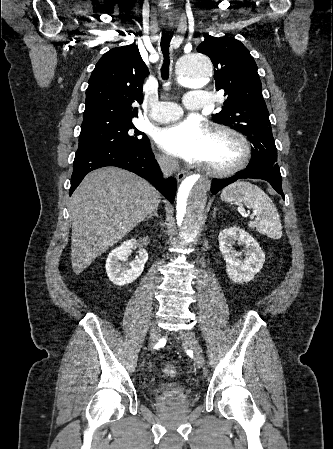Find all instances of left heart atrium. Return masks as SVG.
<instances>
[{"instance_id": "39dd6f15", "label": "left heart atrium", "mask_w": 333, "mask_h": 449, "mask_svg": "<svg viewBox=\"0 0 333 449\" xmlns=\"http://www.w3.org/2000/svg\"><path fill=\"white\" fill-rule=\"evenodd\" d=\"M210 133L197 120L188 119L158 131L156 142L168 154L188 162H202Z\"/></svg>"}]
</instances>
